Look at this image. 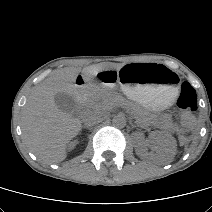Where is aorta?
<instances>
[{"instance_id":"762f6f07","label":"aorta","mask_w":212,"mask_h":212,"mask_svg":"<svg viewBox=\"0 0 212 212\" xmlns=\"http://www.w3.org/2000/svg\"><path fill=\"white\" fill-rule=\"evenodd\" d=\"M112 124L117 128L126 126V118L123 115H117L112 119Z\"/></svg>"}]
</instances>
